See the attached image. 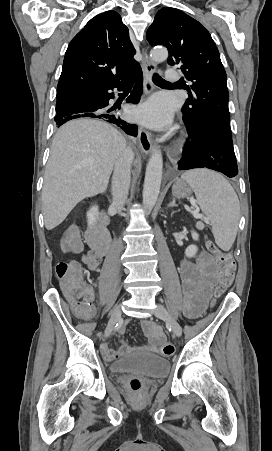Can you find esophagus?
<instances>
[{"label": "esophagus", "mask_w": 272, "mask_h": 451, "mask_svg": "<svg viewBox=\"0 0 272 451\" xmlns=\"http://www.w3.org/2000/svg\"><path fill=\"white\" fill-rule=\"evenodd\" d=\"M141 68L143 72V92L144 95H148L154 90L152 75L156 71L157 65L145 58ZM138 141L142 152L149 155L153 150V141L151 134L143 127H139Z\"/></svg>", "instance_id": "obj_1"}]
</instances>
